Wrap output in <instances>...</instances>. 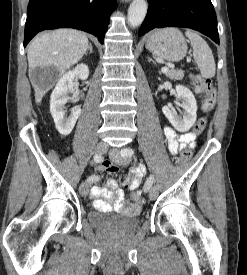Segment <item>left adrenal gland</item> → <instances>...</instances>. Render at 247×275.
<instances>
[{"label":"left adrenal gland","mask_w":247,"mask_h":275,"mask_svg":"<svg viewBox=\"0 0 247 275\" xmlns=\"http://www.w3.org/2000/svg\"><path fill=\"white\" fill-rule=\"evenodd\" d=\"M148 61H152L154 64H156L155 61H153L150 57H148Z\"/></svg>","instance_id":"1"}]
</instances>
